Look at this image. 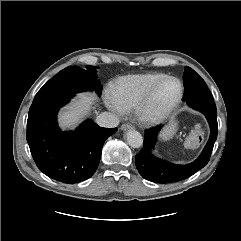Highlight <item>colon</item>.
<instances>
[{"mask_svg":"<svg viewBox=\"0 0 241 241\" xmlns=\"http://www.w3.org/2000/svg\"><path fill=\"white\" fill-rule=\"evenodd\" d=\"M204 131L200 125H197L195 128L192 129L188 138H187V146L190 148L197 147L203 140Z\"/></svg>","mask_w":241,"mask_h":241,"instance_id":"5ec220e1","label":"colon"}]
</instances>
